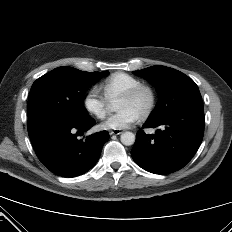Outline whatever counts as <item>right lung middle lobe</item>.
<instances>
[{"label": "right lung middle lobe", "instance_id": "obj_1", "mask_svg": "<svg viewBox=\"0 0 232 232\" xmlns=\"http://www.w3.org/2000/svg\"><path fill=\"white\" fill-rule=\"evenodd\" d=\"M106 74L108 71L85 72L72 67H58L48 72L31 87L28 117L41 113L75 119L89 117L83 106L84 92Z\"/></svg>", "mask_w": 232, "mask_h": 232}]
</instances>
